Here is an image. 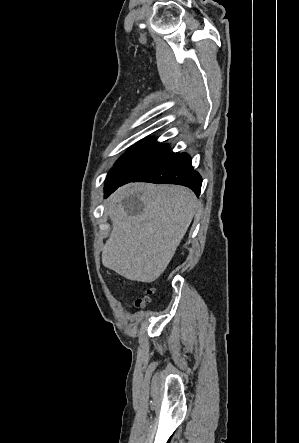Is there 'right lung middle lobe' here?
Here are the masks:
<instances>
[{
    "label": "right lung middle lobe",
    "mask_w": 299,
    "mask_h": 443,
    "mask_svg": "<svg viewBox=\"0 0 299 443\" xmlns=\"http://www.w3.org/2000/svg\"><path fill=\"white\" fill-rule=\"evenodd\" d=\"M167 153L168 146L158 145L153 138L139 142L115 163L106 178L105 188L130 182L155 165Z\"/></svg>",
    "instance_id": "1"
}]
</instances>
